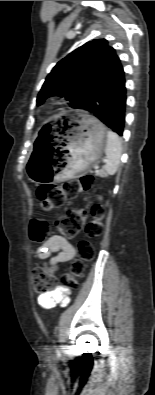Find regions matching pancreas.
<instances>
[{
  "instance_id": "obj_1",
  "label": "pancreas",
  "mask_w": 155,
  "mask_h": 395,
  "mask_svg": "<svg viewBox=\"0 0 155 395\" xmlns=\"http://www.w3.org/2000/svg\"><path fill=\"white\" fill-rule=\"evenodd\" d=\"M96 175H97V176H101V177H104V176H106V174H105V172H104V171H99V172H96Z\"/></svg>"
}]
</instances>
